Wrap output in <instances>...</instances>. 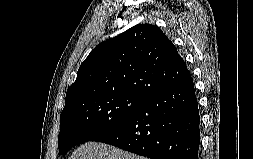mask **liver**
I'll list each match as a JSON object with an SVG mask.
<instances>
[{
    "label": "liver",
    "mask_w": 253,
    "mask_h": 159,
    "mask_svg": "<svg viewBox=\"0 0 253 159\" xmlns=\"http://www.w3.org/2000/svg\"><path fill=\"white\" fill-rule=\"evenodd\" d=\"M69 159H148L111 145L87 142L82 144Z\"/></svg>",
    "instance_id": "6515ba94"
}]
</instances>
